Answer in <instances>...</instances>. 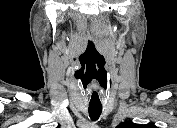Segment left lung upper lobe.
I'll return each mask as SVG.
<instances>
[{
  "instance_id": "5c2ea615",
  "label": "left lung upper lobe",
  "mask_w": 177,
  "mask_h": 128,
  "mask_svg": "<svg viewBox=\"0 0 177 128\" xmlns=\"http://www.w3.org/2000/svg\"><path fill=\"white\" fill-rule=\"evenodd\" d=\"M135 124L134 123H131V122H124V123H121L120 125H119V127H121V128H128V127H132V126H134Z\"/></svg>"
}]
</instances>
